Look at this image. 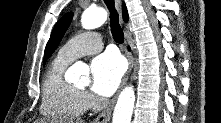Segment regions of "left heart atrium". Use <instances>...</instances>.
<instances>
[{"instance_id":"obj_1","label":"left heart atrium","mask_w":221,"mask_h":123,"mask_svg":"<svg viewBox=\"0 0 221 123\" xmlns=\"http://www.w3.org/2000/svg\"><path fill=\"white\" fill-rule=\"evenodd\" d=\"M124 73L120 56L106 52L91 62L92 90L101 96H110L118 87Z\"/></svg>"}]
</instances>
